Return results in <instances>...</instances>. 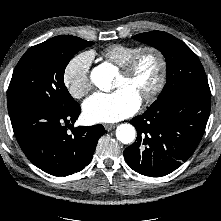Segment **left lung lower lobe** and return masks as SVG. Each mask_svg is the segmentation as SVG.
Wrapping results in <instances>:
<instances>
[{"mask_svg":"<svg viewBox=\"0 0 221 221\" xmlns=\"http://www.w3.org/2000/svg\"><path fill=\"white\" fill-rule=\"evenodd\" d=\"M210 109L211 95L187 91L168 96L157 108L133 118L137 138L124 150L127 164L149 177L173 172L194 153Z\"/></svg>","mask_w":221,"mask_h":221,"instance_id":"left-lung-lower-lobe-1","label":"left lung lower lobe"}]
</instances>
